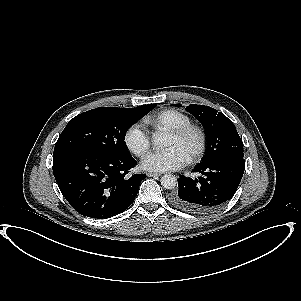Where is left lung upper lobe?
<instances>
[{"label":"left lung upper lobe","instance_id":"obj_1","mask_svg":"<svg viewBox=\"0 0 301 301\" xmlns=\"http://www.w3.org/2000/svg\"><path fill=\"white\" fill-rule=\"evenodd\" d=\"M174 106L180 107L181 104H174ZM186 110L202 123L208 135L206 155L199 165H207L226 155L244 157L243 142L233 122L223 113L211 107L196 104L189 105Z\"/></svg>","mask_w":301,"mask_h":301}]
</instances>
